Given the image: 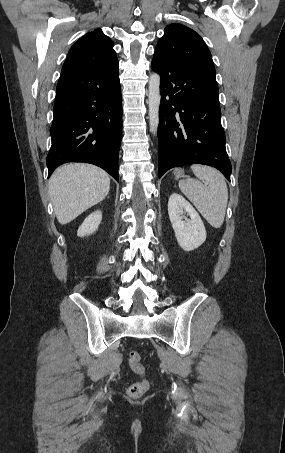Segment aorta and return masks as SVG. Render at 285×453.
Instances as JSON below:
<instances>
[{"instance_id": "1", "label": "aorta", "mask_w": 285, "mask_h": 453, "mask_svg": "<svg viewBox=\"0 0 285 453\" xmlns=\"http://www.w3.org/2000/svg\"><path fill=\"white\" fill-rule=\"evenodd\" d=\"M160 75L153 73L149 79L148 103H149V125L152 134L156 135L159 125L160 107Z\"/></svg>"}]
</instances>
